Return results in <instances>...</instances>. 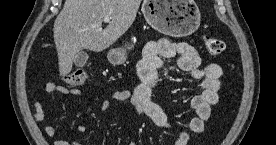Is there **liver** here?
Here are the masks:
<instances>
[{"instance_id":"obj_1","label":"liver","mask_w":276,"mask_h":145,"mask_svg":"<svg viewBox=\"0 0 276 145\" xmlns=\"http://www.w3.org/2000/svg\"><path fill=\"white\" fill-rule=\"evenodd\" d=\"M140 3L141 0H66L53 28L60 75L71 72L81 50L101 52L116 42L133 24ZM105 16L111 22L102 29Z\"/></svg>"}]
</instances>
